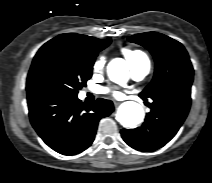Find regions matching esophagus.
I'll list each match as a JSON object with an SVG mask.
<instances>
[{
  "label": "esophagus",
  "instance_id": "1",
  "mask_svg": "<svg viewBox=\"0 0 212 183\" xmlns=\"http://www.w3.org/2000/svg\"><path fill=\"white\" fill-rule=\"evenodd\" d=\"M113 103H114L115 107H117L119 105V102L118 101H115L114 100Z\"/></svg>",
  "mask_w": 212,
  "mask_h": 183
}]
</instances>
